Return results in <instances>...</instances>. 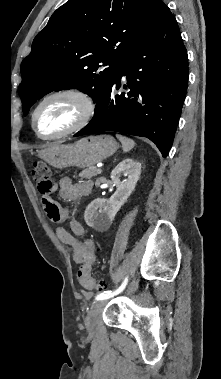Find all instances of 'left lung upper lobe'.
Here are the masks:
<instances>
[{"label":"left lung upper lobe","instance_id":"left-lung-upper-lobe-1","mask_svg":"<svg viewBox=\"0 0 221 379\" xmlns=\"http://www.w3.org/2000/svg\"><path fill=\"white\" fill-rule=\"evenodd\" d=\"M164 6L162 0H69L59 7L21 64L24 114L54 90L79 89L96 103L107 80L153 28Z\"/></svg>","mask_w":221,"mask_h":379}]
</instances>
